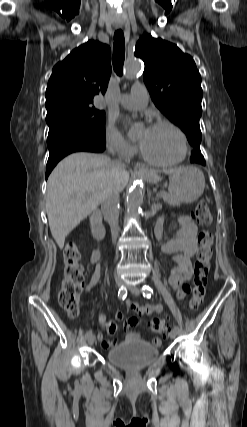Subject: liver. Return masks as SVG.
Returning a JSON list of instances; mask_svg holds the SVG:
<instances>
[{
  "mask_svg": "<svg viewBox=\"0 0 247 427\" xmlns=\"http://www.w3.org/2000/svg\"><path fill=\"white\" fill-rule=\"evenodd\" d=\"M128 181L125 166L102 154L77 152L59 162L48 178L46 197L50 231L59 248L107 194L123 191Z\"/></svg>",
  "mask_w": 247,
  "mask_h": 427,
  "instance_id": "obj_1",
  "label": "liver"
}]
</instances>
